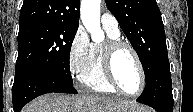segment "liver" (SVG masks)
Returning a JSON list of instances; mask_svg holds the SVG:
<instances>
[{
  "label": "liver",
  "instance_id": "1",
  "mask_svg": "<svg viewBox=\"0 0 193 112\" xmlns=\"http://www.w3.org/2000/svg\"><path fill=\"white\" fill-rule=\"evenodd\" d=\"M139 108V104L126 100L51 93L34 99L22 109V112H128Z\"/></svg>",
  "mask_w": 193,
  "mask_h": 112
}]
</instances>
